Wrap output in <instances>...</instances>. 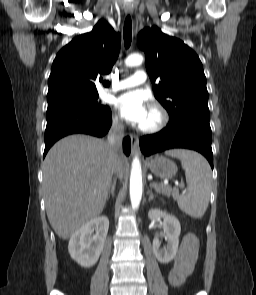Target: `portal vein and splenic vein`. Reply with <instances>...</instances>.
Wrapping results in <instances>:
<instances>
[{
	"mask_svg": "<svg viewBox=\"0 0 256 295\" xmlns=\"http://www.w3.org/2000/svg\"><path fill=\"white\" fill-rule=\"evenodd\" d=\"M155 185V182H152L151 184H150V186H154ZM184 186V184H179V187H183Z\"/></svg>",
	"mask_w": 256,
	"mask_h": 295,
	"instance_id": "portal-vein-and-splenic-vein-1",
	"label": "portal vein and splenic vein"
}]
</instances>
